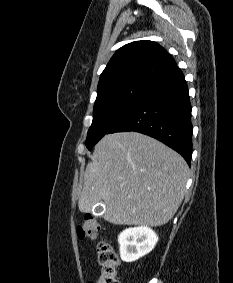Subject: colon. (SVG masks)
Wrapping results in <instances>:
<instances>
[{
	"instance_id": "5ec220e1",
	"label": "colon",
	"mask_w": 233,
	"mask_h": 283,
	"mask_svg": "<svg viewBox=\"0 0 233 283\" xmlns=\"http://www.w3.org/2000/svg\"><path fill=\"white\" fill-rule=\"evenodd\" d=\"M101 231L99 221L87 215L77 227L80 238L96 239ZM98 264L100 273L94 283H119L117 271L120 264L119 257L112 245L108 242H100L97 247Z\"/></svg>"
}]
</instances>
